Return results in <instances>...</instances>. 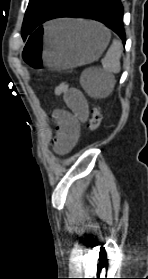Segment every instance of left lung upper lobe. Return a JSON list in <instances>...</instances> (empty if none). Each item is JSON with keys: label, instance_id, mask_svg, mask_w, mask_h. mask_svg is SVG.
I'll return each mask as SVG.
<instances>
[{"label": "left lung upper lobe", "instance_id": "1", "mask_svg": "<svg viewBox=\"0 0 148 279\" xmlns=\"http://www.w3.org/2000/svg\"><path fill=\"white\" fill-rule=\"evenodd\" d=\"M65 1L66 0H30L22 26L23 39L36 30L40 24L45 22Z\"/></svg>", "mask_w": 148, "mask_h": 279}]
</instances>
